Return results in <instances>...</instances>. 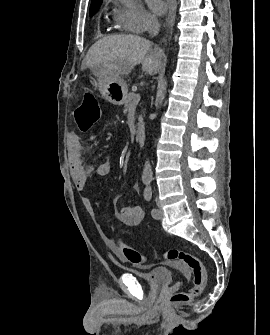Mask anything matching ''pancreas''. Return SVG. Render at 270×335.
<instances>
[{"mask_svg": "<svg viewBox=\"0 0 270 335\" xmlns=\"http://www.w3.org/2000/svg\"><path fill=\"white\" fill-rule=\"evenodd\" d=\"M133 100H134L133 94H128V98H127V100L124 104V110H128V108H130V106H133ZM141 120H142V118L140 116L139 124H142Z\"/></svg>", "mask_w": 270, "mask_h": 335, "instance_id": "1", "label": "pancreas"}]
</instances>
